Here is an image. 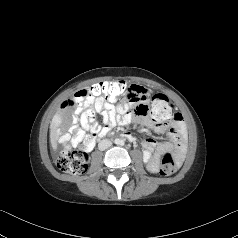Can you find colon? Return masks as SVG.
I'll list each match as a JSON object with an SVG mask.
<instances>
[{
    "instance_id": "1",
    "label": "colon",
    "mask_w": 238,
    "mask_h": 238,
    "mask_svg": "<svg viewBox=\"0 0 238 238\" xmlns=\"http://www.w3.org/2000/svg\"><path fill=\"white\" fill-rule=\"evenodd\" d=\"M129 87L123 81H104L90 87L79 90L71 100L75 103L89 102H116L125 97ZM151 117L157 122H169L175 117L174 106L163 94H156L152 99ZM90 115H94L92 108L88 109ZM91 132V131H90ZM90 135L82 134L77 145L66 146L65 151L56 159V166L62 172L70 174H83L88 168V156L86 146L91 141ZM176 160L171 153H165L161 159L160 174L169 176L176 171Z\"/></svg>"
}]
</instances>
